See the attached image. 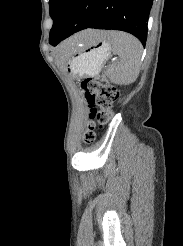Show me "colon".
<instances>
[{
	"label": "colon",
	"instance_id": "1",
	"mask_svg": "<svg viewBox=\"0 0 183 246\" xmlns=\"http://www.w3.org/2000/svg\"><path fill=\"white\" fill-rule=\"evenodd\" d=\"M81 87L89 108V124L84 133V140L90 143L95 138V124L104 125L111 119L112 103L117 98V92L115 88L93 78L84 79Z\"/></svg>",
	"mask_w": 183,
	"mask_h": 246
}]
</instances>
